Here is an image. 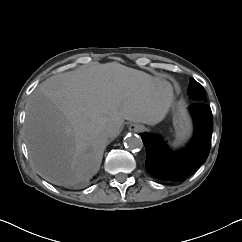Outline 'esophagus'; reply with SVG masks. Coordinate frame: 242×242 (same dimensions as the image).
<instances>
[{"mask_svg":"<svg viewBox=\"0 0 242 242\" xmlns=\"http://www.w3.org/2000/svg\"><path fill=\"white\" fill-rule=\"evenodd\" d=\"M129 130L132 132H142L144 130V127L142 125H136V124H131L129 126Z\"/></svg>","mask_w":242,"mask_h":242,"instance_id":"34e87169","label":"esophagus"}]
</instances>
